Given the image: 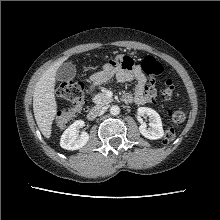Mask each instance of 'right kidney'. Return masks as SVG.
Here are the masks:
<instances>
[{
    "label": "right kidney",
    "instance_id": "1",
    "mask_svg": "<svg viewBox=\"0 0 220 220\" xmlns=\"http://www.w3.org/2000/svg\"><path fill=\"white\" fill-rule=\"evenodd\" d=\"M83 120H77L72 123L62 134L60 139V146L66 150H77L82 148L89 140V134L82 132L80 137L77 132L84 126Z\"/></svg>",
    "mask_w": 220,
    "mask_h": 220
}]
</instances>
